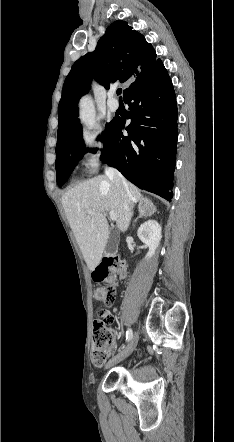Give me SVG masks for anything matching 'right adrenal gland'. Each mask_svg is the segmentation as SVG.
<instances>
[{"mask_svg":"<svg viewBox=\"0 0 234 442\" xmlns=\"http://www.w3.org/2000/svg\"><path fill=\"white\" fill-rule=\"evenodd\" d=\"M149 203L151 206H153V204L147 199V198H142L140 200L139 206H138V210H139V216L134 220V223L137 222V220L139 218H142L144 216L143 210H142V203ZM153 208L155 209V207L153 206Z\"/></svg>","mask_w":234,"mask_h":442,"instance_id":"obj_1","label":"right adrenal gland"}]
</instances>
